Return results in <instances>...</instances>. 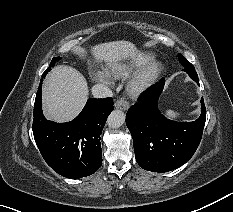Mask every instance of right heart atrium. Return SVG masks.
<instances>
[{
    "mask_svg": "<svg viewBox=\"0 0 233 212\" xmlns=\"http://www.w3.org/2000/svg\"><path fill=\"white\" fill-rule=\"evenodd\" d=\"M92 79L96 82L106 83L109 81V76L102 71L95 70L92 72Z\"/></svg>",
    "mask_w": 233,
    "mask_h": 212,
    "instance_id": "d8ad5b80",
    "label": "right heart atrium"
}]
</instances>
